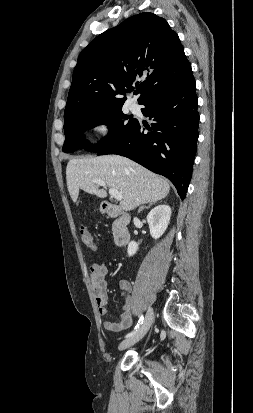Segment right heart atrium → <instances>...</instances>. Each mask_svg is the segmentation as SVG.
Listing matches in <instances>:
<instances>
[{
    "mask_svg": "<svg viewBox=\"0 0 253 413\" xmlns=\"http://www.w3.org/2000/svg\"><path fill=\"white\" fill-rule=\"evenodd\" d=\"M92 131L94 132L98 141H105L112 133V121L108 117H100L92 124Z\"/></svg>",
    "mask_w": 253,
    "mask_h": 413,
    "instance_id": "1",
    "label": "right heart atrium"
}]
</instances>
